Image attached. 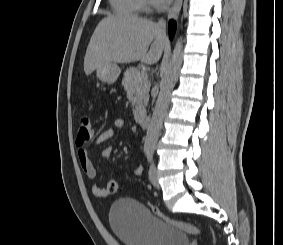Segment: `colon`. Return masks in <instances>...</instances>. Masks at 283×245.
Wrapping results in <instances>:
<instances>
[{
	"instance_id": "colon-1",
	"label": "colon",
	"mask_w": 283,
	"mask_h": 245,
	"mask_svg": "<svg viewBox=\"0 0 283 245\" xmlns=\"http://www.w3.org/2000/svg\"><path fill=\"white\" fill-rule=\"evenodd\" d=\"M93 137V127L91 119L88 115H81L79 118V127L77 131L76 142L79 145L88 143ZM106 193L107 194H114L118 190V182L116 179H110L106 185ZM152 210L155 215L163 219L168 224L192 235H201V230L188 222L180 221L173 219L164 215L157 207H152Z\"/></svg>"
}]
</instances>
